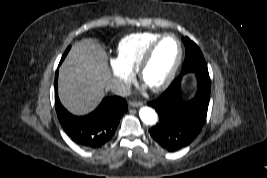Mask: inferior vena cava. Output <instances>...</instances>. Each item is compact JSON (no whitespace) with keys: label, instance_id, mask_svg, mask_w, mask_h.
Wrapping results in <instances>:
<instances>
[{"label":"inferior vena cava","instance_id":"1","mask_svg":"<svg viewBox=\"0 0 267 178\" xmlns=\"http://www.w3.org/2000/svg\"><path fill=\"white\" fill-rule=\"evenodd\" d=\"M108 88L116 95L127 96L130 94V84L121 80L113 81Z\"/></svg>","mask_w":267,"mask_h":178}]
</instances>
